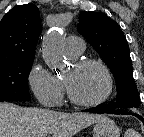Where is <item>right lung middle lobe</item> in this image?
<instances>
[{
	"label": "right lung middle lobe",
	"mask_w": 144,
	"mask_h": 137,
	"mask_svg": "<svg viewBox=\"0 0 144 137\" xmlns=\"http://www.w3.org/2000/svg\"><path fill=\"white\" fill-rule=\"evenodd\" d=\"M34 58L0 62V101H29L28 76Z\"/></svg>",
	"instance_id": "right-lung-middle-lobe-1"
}]
</instances>
